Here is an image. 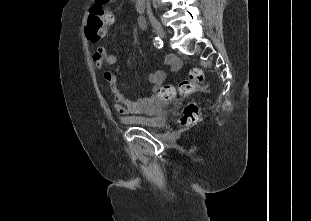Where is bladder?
<instances>
[{
    "label": "bladder",
    "mask_w": 311,
    "mask_h": 221,
    "mask_svg": "<svg viewBox=\"0 0 311 221\" xmlns=\"http://www.w3.org/2000/svg\"><path fill=\"white\" fill-rule=\"evenodd\" d=\"M169 122V114L165 110V104L160 102L147 108L145 113L134 116V123L152 128H161Z\"/></svg>",
    "instance_id": "31cf9c89"
}]
</instances>
